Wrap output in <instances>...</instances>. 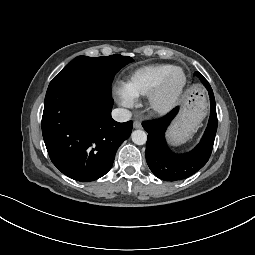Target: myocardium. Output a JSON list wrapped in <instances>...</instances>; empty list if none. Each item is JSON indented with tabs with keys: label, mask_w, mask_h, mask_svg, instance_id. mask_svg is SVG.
Listing matches in <instances>:
<instances>
[{
	"label": "myocardium",
	"mask_w": 255,
	"mask_h": 255,
	"mask_svg": "<svg viewBox=\"0 0 255 255\" xmlns=\"http://www.w3.org/2000/svg\"><path fill=\"white\" fill-rule=\"evenodd\" d=\"M176 74L182 78L178 85L172 86V80ZM187 85V76L180 67H175L160 84L149 94L150 108L158 114H166L177 104Z\"/></svg>",
	"instance_id": "1"
}]
</instances>
